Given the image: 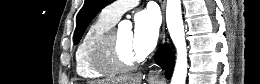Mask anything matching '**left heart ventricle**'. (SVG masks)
Wrapping results in <instances>:
<instances>
[{
	"mask_svg": "<svg viewBox=\"0 0 260 84\" xmlns=\"http://www.w3.org/2000/svg\"><path fill=\"white\" fill-rule=\"evenodd\" d=\"M116 36L118 53L121 60L130 62L137 59L138 57L136 56L132 45V32L117 30Z\"/></svg>",
	"mask_w": 260,
	"mask_h": 84,
	"instance_id": "obj_1",
	"label": "left heart ventricle"
}]
</instances>
